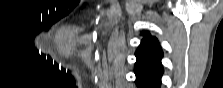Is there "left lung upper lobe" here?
Listing matches in <instances>:
<instances>
[{
    "label": "left lung upper lobe",
    "mask_w": 223,
    "mask_h": 88,
    "mask_svg": "<svg viewBox=\"0 0 223 88\" xmlns=\"http://www.w3.org/2000/svg\"><path fill=\"white\" fill-rule=\"evenodd\" d=\"M142 34L144 35V39L136 52L137 59H144L161 66L160 60L163 53L157 39L151 37L148 32H143Z\"/></svg>",
    "instance_id": "obj_1"
}]
</instances>
